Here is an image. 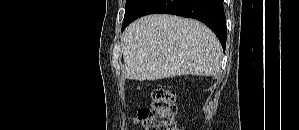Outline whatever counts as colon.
<instances>
[{
	"mask_svg": "<svg viewBox=\"0 0 299 130\" xmlns=\"http://www.w3.org/2000/svg\"><path fill=\"white\" fill-rule=\"evenodd\" d=\"M176 112L174 91L158 88L153 92L151 106L142 108L138 117L143 130H181L175 120Z\"/></svg>",
	"mask_w": 299,
	"mask_h": 130,
	"instance_id": "1",
	"label": "colon"
}]
</instances>
